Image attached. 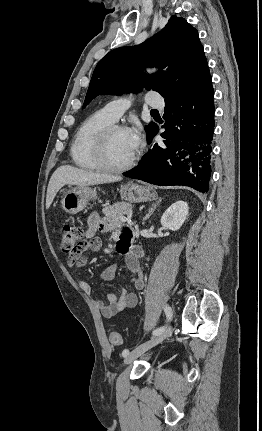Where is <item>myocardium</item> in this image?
Here are the masks:
<instances>
[{
    "instance_id": "obj_1",
    "label": "myocardium",
    "mask_w": 262,
    "mask_h": 431,
    "mask_svg": "<svg viewBox=\"0 0 262 431\" xmlns=\"http://www.w3.org/2000/svg\"><path fill=\"white\" fill-rule=\"evenodd\" d=\"M120 130L126 131L127 128L123 125L113 123L103 128L97 137L96 147H95V158L100 168L104 171L113 172V173L124 172L131 169L138 160V153H135L133 157L123 165L115 166L109 162L108 154H107L109 139L113 133Z\"/></svg>"
}]
</instances>
